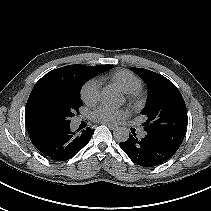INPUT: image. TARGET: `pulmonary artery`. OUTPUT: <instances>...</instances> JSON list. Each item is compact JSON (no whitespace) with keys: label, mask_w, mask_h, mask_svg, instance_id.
<instances>
[{"label":"pulmonary artery","mask_w":211,"mask_h":211,"mask_svg":"<svg viewBox=\"0 0 211 211\" xmlns=\"http://www.w3.org/2000/svg\"><path fill=\"white\" fill-rule=\"evenodd\" d=\"M145 136V132L140 133V137L143 138Z\"/></svg>","instance_id":"obj_1"}]
</instances>
